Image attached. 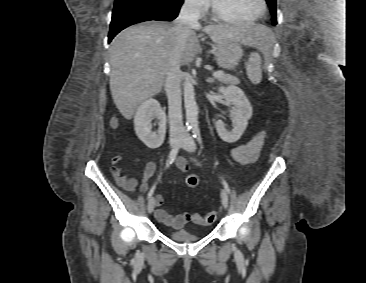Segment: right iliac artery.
Returning <instances> with one entry per match:
<instances>
[{"label":"right iliac artery","instance_id":"1","mask_svg":"<svg viewBox=\"0 0 366 283\" xmlns=\"http://www.w3.org/2000/svg\"><path fill=\"white\" fill-rule=\"evenodd\" d=\"M191 129H192V126H187V127H186V133H188ZM179 149H180V145H177L176 147H174V148L170 151V154H169V158H168V161H167L166 167H168L170 164H172V163H173V161H174V159H175V157H176V155H177V153H178ZM154 190H155V186H153V187L151 188V190L149 191L148 196H147V198H148V199H149V198H151V196H152V195H153V193H154Z\"/></svg>","mask_w":366,"mask_h":283}]
</instances>
